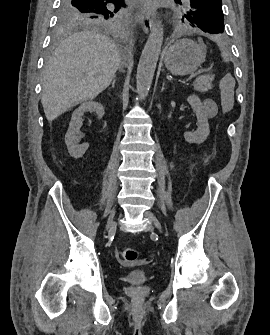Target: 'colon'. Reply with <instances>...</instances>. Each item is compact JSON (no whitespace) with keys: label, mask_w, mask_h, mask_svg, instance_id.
I'll return each instance as SVG.
<instances>
[{"label":"colon","mask_w":270,"mask_h":335,"mask_svg":"<svg viewBox=\"0 0 270 335\" xmlns=\"http://www.w3.org/2000/svg\"><path fill=\"white\" fill-rule=\"evenodd\" d=\"M219 78L222 79V90L219 98V109H236V102H233L235 95V79L232 72H220ZM117 258L123 264L132 263L137 258V252L133 248L120 249Z\"/></svg>","instance_id":"obj_1"}]
</instances>
